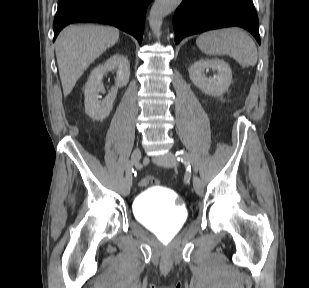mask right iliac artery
<instances>
[{"instance_id": "82829eb1", "label": "right iliac artery", "mask_w": 309, "mask_h": 288, "mask_svg": "<svg viewBox=\"0 0 309 288\" xmlns=\"http://www.w3.org/2000/svg\"><path fill=\"white\" fill-rule=\"evenodd\" d=\"M139 160L130 161V163L127 164L126 174H127V180L126 183L130 184L132 180V174L131 171H133V168H137V170H142V165H139Z\"/></svg>"}]
</instances>
